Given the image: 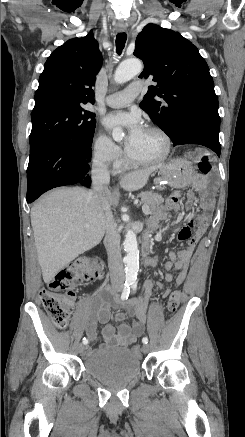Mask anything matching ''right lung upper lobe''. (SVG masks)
Wrapping results in <instances>:
<instances>
[{
  "mask_svg": "<svg viewBox=\"0 0 245 437\" xmlns=\"http://www.w3.org/2000/svg\"><path fill=\"white\" fill-rule=\"evenodd\" d=\"M101 65L102 54L92 32L67 41L51 53L44 65L35 106L50 102L93 104L92 87Z\"/></svg>",
  "mask_w": 245,
  "mask_h": 437,
  "instance_id": "obj_1",
  "label": "right lung upper lobe"
}]
</instances>
